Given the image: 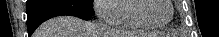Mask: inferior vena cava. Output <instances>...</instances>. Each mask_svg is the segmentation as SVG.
I'll use <instances>...</instances> for the list:
<instances>
[{"instance_id": "obj_1", "label": "inferior vena cava", "mask_w": 219, "mask_h": 37, "mask_svg": "<svg viewBox=\"0 0 219 37\" xmlns=\"http://www.w3.org/2000/svg\"><path fill=\"white\" fill-rule=\"evenodd\" d=\"M93 34L95 37H108L111 34V30L107 24L98 20L94 23Z\"/></svg>"}]
</instances>
